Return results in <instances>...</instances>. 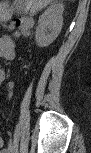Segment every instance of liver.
<instances>
[{
	"label": "liver",
	"instance_id": "liver-1",
	"mask_svg": "<svg viewBox=\"0 0 91 153\" xmlns=\"http://www.w3.org/2000/svg\"><path fill=\"white\" fill-rule=\"evenodd\" d=\"M50 2L51 0H23V1L16 0L15 1L16 4H24L26 6V9H31L32 13L39 11Z\"/></svg>",
	"mask_w": 91,
	"mask_h": 153
}]
</instances>
